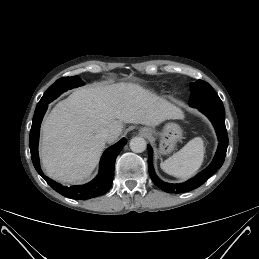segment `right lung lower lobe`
I'll return each mask as SVG.
<instances>
[{
	"label": "right lung lower lobe",
	"mask_w": 259,
	"mask_h": 259,
	"mask_svg": "<svg viewBox=\"0 0 259 259\" xmlns=\"http://www.w3.org/2000/svg\"><path fill=\"white\" fill-rule=\"evenodd\" d=\"M48 104L36 107L32 127L30 131L29 147L31 158L36 171L46 180V182L57 192L68 198L76 200H86L100 196L109 191L113 177L115 161L126 144L127 140L122 138L118 143L109 147L104 153L100 161V171L98 176L91 182L81 186L65 187L59 183L48 179L41 171L38 157V139L42 118L47 110Z\"/></svg>",
	"instance_id": "obj_1"
}]
</instances>
